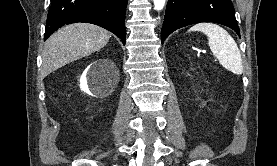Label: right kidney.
Here are the masks:
<instances>
[{"label":"right kidney","mask_w":277,"mask_h":166,"mask_svg":"<svg viewBox=\"0 0 277 166\" xmlns=\"http://www.w3.org/2000/svg\"><path fill=\"white\" fill-rule=\"evenodd\" d=\"M106 60H100L98 62H95V64H97L98 66H102V64L106 63ZM93 73L94 71L92 70V67L90 68V66L85 70V72L83 73L81 80H80V87L81 89L90 94L89 88H88V82H90L93 78Z\"/></svg>","instance_id":"obj_1"}]
</instances>
